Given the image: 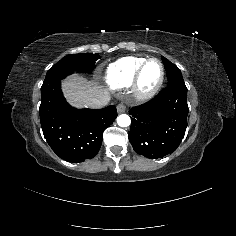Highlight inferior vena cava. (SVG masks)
<instances>
[{"label": "inferior vena cava", "instance_id": "1", "mask_svg": "<svg viewBox=\"0 0 236 236\" xmlns=\"http://www.w3.org/2000/svg\"><path fill=\"white\" fill-rule=\"evenodd\" d=\"M109 102H110V98L108 96H104L103 98L92 99L86 104V106L91 109H99L108 105Z\"/></svg>", "mask_w": 236, "mask_h": 236}]
</instances>
